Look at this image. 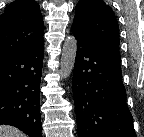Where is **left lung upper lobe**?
<instances>
[{
    "label": "left lung upper lobe",
    "mask_w": 144,
    "mask_h": 137,
    "mask_svg": "<svg viewBox=\"0 0 144 137\" xmlns=\"http://www.w3.org/2000/svg\"><path fill=\"white\" fill-rule=\"evenodd\" d=\"M72 31L82 35L94 46L119 55V27L116 16L102 0H80Z\"/></svg>",
    "instance_id": "1"
}]
</instances>
